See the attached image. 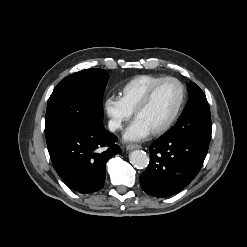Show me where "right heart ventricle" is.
Returning <instances> with one entry per match:
<instances>
[{
  "label": "right heart ventricle",
  "instance_id": "1",
  "mask_svg": "<svg viewBox=\"0 0 247 247\" xmlns=\"http://www.w3.org/2000/svg\"><path fill=\"white\" fill-rule=\"evenodd\" d=\"M165 78L158 75H138L127 81L120 88V98L126 108L134 112L137 105L143 99L148 90L157 82Z\"/></svg>",
  "mask_w": 247,
  "mask_h": 247
}]
</instances>
